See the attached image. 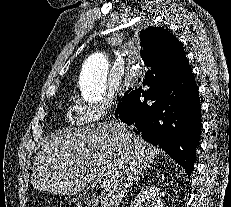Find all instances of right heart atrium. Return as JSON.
I'll use <instances>...</instances> for the list:
<instances>
[{
  "label": "right heart atrium",
  "instance_id": "d8ad5b80",
  "mask_svg": "<svg viewBox=\"0 0 231 207\" xmlns=\"http://www.w3.org/2000/svg\"><path fill=\"white\" fill-rule=\"evenodd\" d=\"M74 120L80 127H91L101 121L113 106L111 97H106L96 103H86L80 98H74Z\"/></svg>",
  "mask_w": 231,
  "mask_h": 207
}]
</instances>
